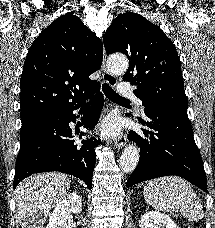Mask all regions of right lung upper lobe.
I'll use <instances>...</instances> for the list:
<instances>
[{
  "instance_id": "cb5924a9",
  "label": "right lung upper lobe",
  "mask_w": 215,
  "mask_h": 228,
  "mask_svg": "<svg viewBox=\"0 0 215 228\" xmlns=\"http://www.w3.org/2000/svg\"><path fill=\"white\" fill-rule=\"evenodd\" d=\"M101 40L67 13L31 45L20 81L22 123L60 115L81 102L97 81L89 76L102 64Z\"/></svg>"
}]
</instances>
